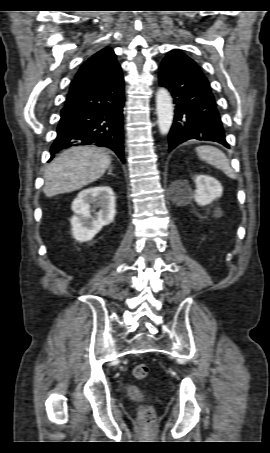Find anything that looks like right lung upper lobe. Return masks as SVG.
<instances>
[{
  "instance_id": "1",
  "label": "right lung upper lobe",
  "mask_w": 270,
  "mask_h": 453,
  "mask_svg": "<svg viewBox=\"0 0 270 453\" xmlns=\"http://www.w3.org/2000/svg\"><path fill=\"white\" fill-rule=\"evenodd\" d=\"M121 68L113 50L106 47L91 56L78 70L70 91L92 88L110 79Z\"/></svg>"
}]
</instances>
